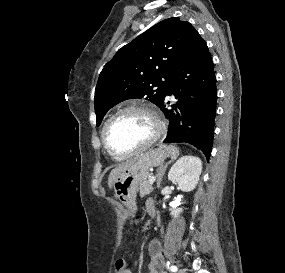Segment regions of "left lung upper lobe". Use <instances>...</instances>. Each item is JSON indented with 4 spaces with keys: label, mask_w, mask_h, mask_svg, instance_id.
Masks as SVG:
<instances>
[{
    "label": "left lung upper lobe",
    "mask_w": 285,
    "mask_h": 273,
    "mask_svg": "<svg viewBox=\"0 0 285 273\" xmlns=\"http://www.w3.org/2000/svg\"><path fill=\"white\" fill-rule=\"evenodd\" d=\"M193 31L189 22L172 17L123 46L99 75L94 102L97 126L110 108L127 99L145 98L159 107Z\"/></svg>",
    "instance_id": "obj_1"
}]
</instances>
